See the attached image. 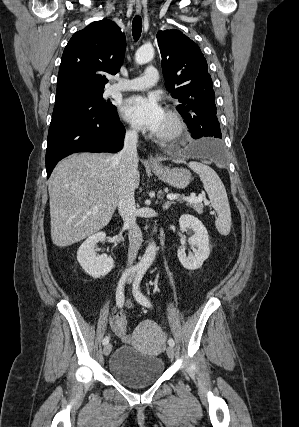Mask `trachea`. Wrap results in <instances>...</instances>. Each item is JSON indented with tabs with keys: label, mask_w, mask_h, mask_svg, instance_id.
Returning a JSON list of instances; mask_svg holds the SVG:
<instances>
[{
	"label": "trachea",
	"mask_w": 299,
	"mask_h": 427,
	"mask_svg": "<svg viewBox=\"0 0 299 427\" xmlns=\"http://www.w3.org/2000/svg\"><path fill=\"white\" fill-rule=\"evenodd\" d=\"M141 32H142V18L139 15H136L132 22V33L135 41H137L140 38Z\"/></svg>",
	"instance_id": "1"
}]
</instances>
